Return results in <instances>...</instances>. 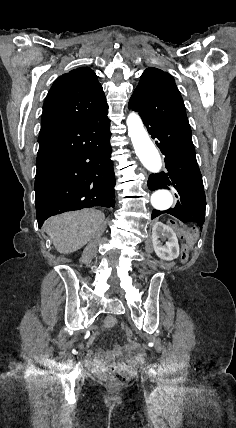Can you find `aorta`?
Segmentation results:
<instances>
[{"label":"aorta","instance_id":"762f6f07","mask_svg":"<svg viewBox=\"0 0 236 428\" xmlns=\"http://www.w3.org/2000/svg\"><path fill=\"white\" fill-rule=\"evenodd\" d=\"M126 124L135 153L143 166L151 173H159L162 168V160L144 128L140 116L131 112L127 117ZM151 204L155 210H167L173 204V196L168 190H158L152 194Z\"/></svg>","mask_w":236,"mask_h":428}]
</instances>
